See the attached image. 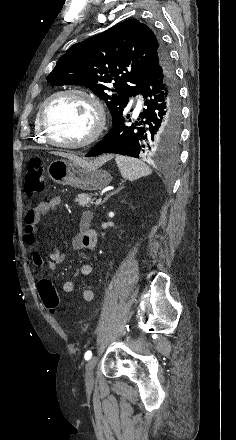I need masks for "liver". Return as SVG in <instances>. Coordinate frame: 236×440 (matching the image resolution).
<instances>
[{
    "mask_svg": "<svg viewBox=\"0 0 236 440\" xmlns=\"http://www.w3.org/2000/svg\"><path fill=\"white\" fill-rule=\"evenodd\" d=\"M52 154L74 160V161L80 163L81 165L89 166L92 168L100 167L101 165H103L105 162H107L109 159L112 158V155H107V156L99 157L98 159H96L92 162H87V161H85V160H83V159L79 158L78 156L71 154V153L52 152Z\"/></svg>",
    "mask_w": 236,
    "mask_h": 440,
    "instance_id": "6515ba94",
    "label": "liver"
}]
</instances>
